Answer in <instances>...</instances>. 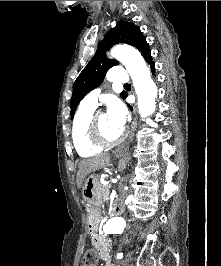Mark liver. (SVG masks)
I'll return each mask as SVG.
<instances>
[{
	"instance_id": "6515ba94",
	"label": "liver",
	"mask_w": 221,
	"mask_h": 266,
	"mask_svg": "<svg viewBox=\"0 0 221 266\" xmlns=\"http://www.w3.org/2000/svg\"><path fill=\"white\" fill-rule=\"evenodd\" d=\"M111 165V155L110 154H101L92 158L83 159L79 162L78 172H77V187L80 189L83 186L85 178L90 173H93L99 169L107 168ZM119 170L125 168L124 159L119 161Z\"/></svg>"
}]
</instances>
